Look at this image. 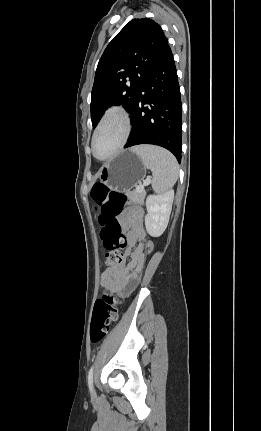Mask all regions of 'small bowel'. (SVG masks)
Wrapping results in <instances>:
<instances>
[{
  "label": "small bowel",
  "mask_w": 261,
  "mask_h": 431,
  "mask_svg": "<svg viewBox=\"0 0 261 431\" xmlns=\"http://www.w3.org/2000/svg\"><path fill=\"white\" fill-rule=\"evenodd\" d=\"M120 225L127 232L128 263L108 266L100 277L103 288L120 292L124 295L132 291L137 285L144 268L145 252L151 246L143 228V210L139 206L127 208L120 216ZM136 248L130 252V248Z\"/></svg>",
  "instance_id": "1"
}]
</instances>
